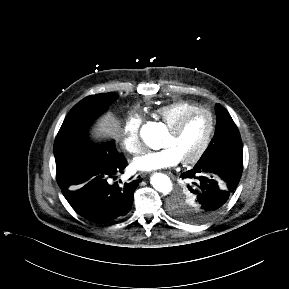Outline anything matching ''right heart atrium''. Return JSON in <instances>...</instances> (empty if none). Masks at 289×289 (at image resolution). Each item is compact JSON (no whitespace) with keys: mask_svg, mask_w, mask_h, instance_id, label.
Segmentation results:
<instances>
[{"mask_svg":"<svg viewBox=\"0 0 289 289\" xmlns=\"http://www.w3.org/2000/svg\"><path fill=\"white\" fill-rule=\"evenodd\" d=\"M143 118L137 112H131L125 119L122 128V146L130 154L137 155L143 151L140 129Z\"/></svg>","mask_w":289,"mask_h":289,"instance_id":"obj_1","label":"right heart atrium"}]
</instances>
